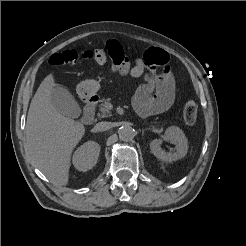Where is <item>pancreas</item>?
I'll return each mask as SVG.
<instances>
[{
  "mask_svg": "<svg viewBox=\"0 0 246 246\" xmlns=\"http://www.w3.org/2000/svg\"><path fill=\"white\" fill-rule=\"evenodd\" d=\"M101 104L99 106V113L97 114L98 117H108L111 116V112L108 108V105L110 104V99H102Z\"/></svg>",
  "mask_w": 246,
  "mask_h": 246,
  "instance_id": "1",
  "label": "pancreas"
}]
</instances>
